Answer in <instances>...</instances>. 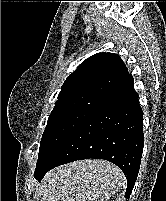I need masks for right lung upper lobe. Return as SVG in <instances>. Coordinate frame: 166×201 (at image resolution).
I'll return each instance as SVG.
<instances>
[{"mask_svg": "<svg viewBox=\"0 0 166 201\" xmlns=\"http://www.w3.org/2000/svg\"><path fill=\"white\" fill-rule=\"evenodd\" d=\"M129 72L120 57L113 53H98L87 58L65 80L56 102L84 96H106Z\"/></svg>", "mask_w": 166, "mask_h": 201, "instance_id": "obj_1", "label": "right lung upper lobe"}]
</instances>
